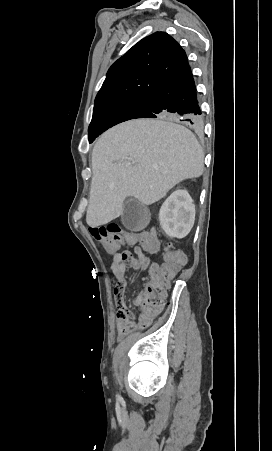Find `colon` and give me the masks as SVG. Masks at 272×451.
I'll return each instance as SVG.
<instances>
[{"mask_svg": "<svg viewBox=\"0 0 272 451\" xmlns=\"http://www.w3.org/2000/svg\"><path fill=\"white\" fill-rule=\"evenodd\" d=\"M90 232L93 238L107 249L108 254H111L113 250H124L126 248L125 242L127 238L123 237L125 231L117 224L93 227L90 229ZM158 241V232L156 230H150L145 237L143 235H135L133 237L135 244H143L145 242V247L150 249L152 256L159 254ZM161 246L166 247L167 243L162 242ZM118 258L111 260V268L115 271L120 270V268L125 270L126 268L148 267L149 264L148 258H137L129 251L119 252ZM164 258L167 261L162 266L157 265L155 269L150 271L147 288H141V294L136 296L137 303H140V310H157L163 303H169L170 297L166 289L171 285L173 271H184L185 269L183 260L186 259V252L181 251L179 247H167ZM150 263L154 265L156 262L152 260ZM133 316V312L130 311L121 313L120 336H125L126 331L130 329L131 323L127 319L133 318ZM147 324L148 322H141L140 328L146 327Z\"/></svg>", "mask_w": 272, "mask_h": 451, "instance_id": "colon-1", "label": "colon"}]
</instances>
